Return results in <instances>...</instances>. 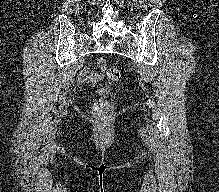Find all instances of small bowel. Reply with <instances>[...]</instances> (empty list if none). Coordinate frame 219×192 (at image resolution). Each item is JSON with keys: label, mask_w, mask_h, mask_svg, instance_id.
I'll list each match as a JSON object with an SVG mask.
<instances>
[{"label": "small bowel", "mask_w": 219, "mask_h": 192, "mask_svg": "<svg viewBox=\"0 0 219 192\" xmlns=\"http://www.w3.org/2000/svg\"><path fill=\"white\" fill-rule=\"evenodd\" d=\"M104 68V64L101 60H98L94 64V68H87L82 71L80 77L82 80L87 81V82H96L102 79L103 75L101 71Z\"/></svg>", "instance_id": "obj_1"}]
</instances>
